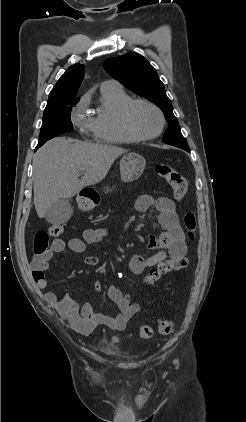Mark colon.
Listing matches in <instances>:
<instances>
[{
    "instance_id": "5ec220e1",
    "label": "colon",
    "mask_w": 246,
    "mask_h": 422,
    "mask_svg": "<svg viewBox=\"0 0 246 422\" xmlns=\"http://www.w3.org/2000/svg\"><path fill=\"white\" fill-rule=\"evenodd\" d=\"M156 174L164 179L171 187L174 196L181 199L187 192L188 183L186 178L173 167L168 164H157L155 166ZM183 224L190 240H193L196 232V216L195 213L189 211L183 217ZM64 227L59 224L51 225L46 231H39L36 233L33 242V249L36 256H42L48 251L49 237H56L63 233ZM186 258L170 259L150 269L146 276L148 283H154L159 280L163 275L183 269L187 266ZM42 273L39 270H32L33 278L41 277ZM174 322L169 319H160L158 321L157 330L160 334L167 335L173 332ZM139 336L142 339H150L154 335V330L147 325L139 328Z\"/></svg>"
}]
</instances>
